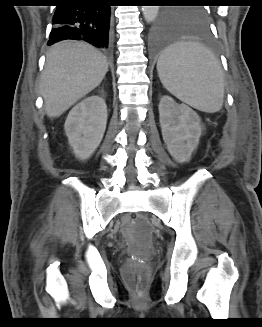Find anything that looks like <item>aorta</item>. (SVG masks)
<instances>
[{
    "label": "aorta",
    "mask_w": 262,
    "mask_h": 327,
    "mask_svg": "<svg viewBox=\"0 0 262 327\" xmlns=\"http://www.w3.org/2000/svg\"><path fill=\"white\" fill-rule=\"evenodd\" d=\"M158 12H159L158 6H142V13L144 19L148 23H151L156 19Z\"/></svg>",
    "instance_id": "obj_1"
}]
</instances>
